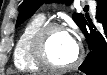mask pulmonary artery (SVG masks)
I'll use <instances>...</instances> for the list:
<instances>
[{
	"label": "pulmonary artery",
	"instance_id": "e3ab8cb5",
	"mask_svg": "<svg viewBox=\"0 0 107 75\" xmlns=\"http://www.w3.org/2000/svg\"><path fill=\"white\" fill-rule=\"evenodd\" d=\"M40 15H42L45 18V14L44 13H41Z\"/></svg>",
	"mask_w": 107,
	"mask_h": 75
}]
</instances>
